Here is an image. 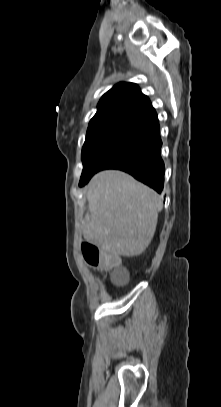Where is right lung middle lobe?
Listing matches in <instances>:
<instances>
[{"instance_id":"obj_1","label":"right lung middle lobe","mask_w":221,"mask_h":407,"mask_svg":"<svg viewBox=\"0 0 221 407\" xmlns=\"http://www.w3.org/2000/svg\"><path fill=\"white\" fill-rule=\"evenodd\" d=\"M139 127L115 126L86 135L82 149L83 171L79 186L99 171L103 162Z\"/></svg>"}]
</instances>
